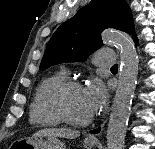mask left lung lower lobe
<instances>
[{"label": "left lung lower lobe", "instance_id": "0a47b994", "mask_svg": "<svg viewBox=\"0 0 155 149\" xmlns=\"http://www.w3.org/2000/svg\"><path fill=\"white\" fill-rule=\"evenodd\" d=\"M133 40L135 41V43H137V42H138V41H137V37H136L135 33L133 34ZM99 131H100V128H98V129H96V130L91 131V133H98Z\"/></svg>", "mask_w": 155, "mask_h": 149}]
</instances>
